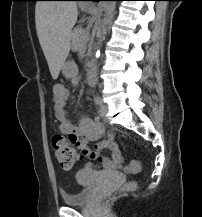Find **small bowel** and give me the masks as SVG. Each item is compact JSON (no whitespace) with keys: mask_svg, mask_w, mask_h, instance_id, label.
I'll list each match as a JSON object with an SVG mask.
<instances>
[{"mask_svg":"<svg viewBox=\"0 0 202 217\" xmlns=\"http://www.w3.org/2000/svg\"><path fill=\"white\" fill-rule=\"evenodd\" d=\"M80 74L72 76V83L77 85L80 82ZM69 90L62 84H57L53 88L54 111L55 117L59 122L62 133L68 135L69 141L83 151V156L90 159H96L109 172H117L123 163V156L114 141L112 132L107 134L105 140L99 141L94 148L88 147V141L101 138L105 129L98 118L90 119L82 116L77 123L69 119L67 111V100ZM108 149L111 151V158L102 155V151Z\"/></svg>","mask_w":202,"mask_h":217,"instance_id":"obj_1","label":"small bowel"}]
</instances>
